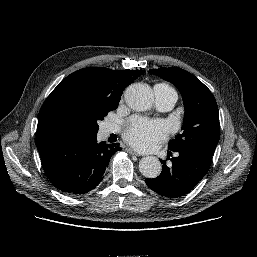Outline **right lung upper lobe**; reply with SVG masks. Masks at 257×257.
<instances>
[{
  "label": "right lung upper lobe",
  "mask_w": 257,
  "mask_h": 257,
  "mask_svg": "<svg viewBox=\"0 0 257 257\" xmlns=\"http://www.w3.org/2000/svg\"><path fill=\"white\" fill-rule=\"evenodd\" d=\"M144 70L115 71L108 68H84L67 76L48 96L38 115V150L59 139L82 136L75 115L78 98L88 95L120 100L123 90Z\"/></svg>",
  "instance_id": "obj_1"
}]
</instances>
